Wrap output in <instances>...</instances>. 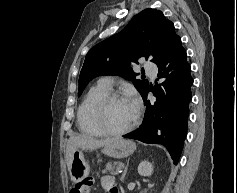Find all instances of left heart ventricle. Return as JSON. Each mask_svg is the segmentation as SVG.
<instances>
[{
  "mask_svg": "<svg viewBox=\"0 0 237 193\" xmlns=\"http://www.w3.org/2000/svg\"><path fill=\"white\" fill-rule=\"evenodd\" d=\"M136 107L130 100L110 102L103 113L102 121L112 130H121L127 127L134 119Z\"/></svg>",
  "mask_w": 237,
  "mask_h": 193,
  "instance_id": "obj_1",
  "label": "left heart ventricle"
}]
</instances>
